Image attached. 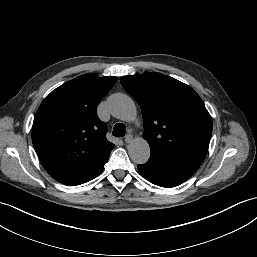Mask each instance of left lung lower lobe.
Returning <instances> with one entry per match:
<instances>
[{
	"label": "left lung lower lobe",
	"instance_id": "left-lung-lower-lobe-1",
	"mask_svg": "<svg viewBox=\"0 0 257 257\" xmlns=\"http://www.w3.org/2000/svg\"><path fill=\"white\" fill-rule=\"evenodd\" d=\"M204 158L198 154L163 155L151 152L150 159L138 165V170L151 183L169 188L190 178Z\"/></svg>",
	"mask_w": 257,
	"mask_h": 257
}]
</instances>
